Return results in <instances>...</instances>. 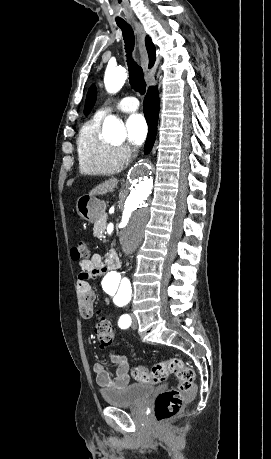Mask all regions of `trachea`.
I'll return each mask as SVG.
<instances>
[{"instance_id": "trachea-1", "label": "trachea", "mask_w": 271, "mask_h": 459, "mask_svg": "<svg viewBox=\"0 0 271 459\" xmlns=\"http://www.w3.org/2000/svg\"><path fill=\"white\" fill-rule=\"evenodd\" d=\"M118 27L122 30L125 50L127 53L126 56L129 70V83L136 92H139L143 95L146 90V82L143 75V69L132 58V51L135 44L134 32L131 26L128 24L118 25Z\"/></svg>"}]
</instances>
